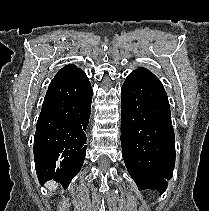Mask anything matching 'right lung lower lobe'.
<instances>
[{"label": "right lung lower lobe", "mask_w": 209, "mask_h": 211, "mask_svg": "<svg viewBox=\"0 0 209 211\" xmlns=\"http://www.w3.org/2000/svg\"><path fill=\"white\" fill-rule=\"evenodd\" d=\"M91 102V84L81 69L48 88L34 137L35 168L41 184L53 179L66 188L80 171Z\"/></svg>", "instance_id": "obj_1"}]
</instances>
